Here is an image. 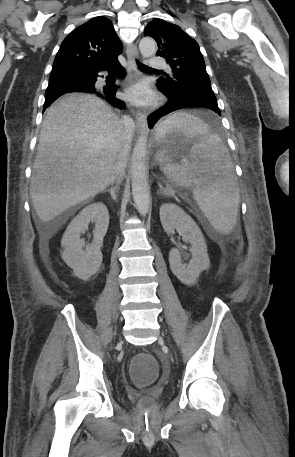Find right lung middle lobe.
<instances>
[{
	"instance_id": "1",
	"label": "right lung middle lobe",
	"mask_w": 295,
	"mask_h": 457,
	"mask_svg": "<svg viewBox=\"0 0 295 457\" xmlns=\"http://www.w3.org/2000/svg\"><path fill=\"white\" fill-rule=\"evenodd\" d=\"M51 94H52L51 91H46V92H45V96H47V97L51 96Z\"/></svg>"
}]
</instances>
